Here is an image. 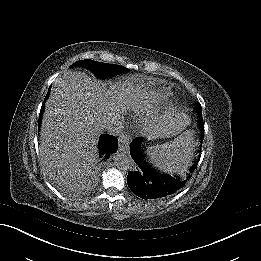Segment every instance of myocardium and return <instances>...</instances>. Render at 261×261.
I'll return each mask as SVG.
<instances>
[{"label":"myocardium","mask_w":261,"mask_h":261,"mask_svg":"<svg viewBox=\"0 0 261 261\" xmlns=\"http://www.w3.org/2000/svg\"><path fill=\"white\" fill-rule=\"evenodd\" d=\"M175 108H176V105L175 104H171V106L169 107V111L170 112H174ZM159 122H161V121H159Z\"/></svg>","instance_id":"1"}]
</instances>
